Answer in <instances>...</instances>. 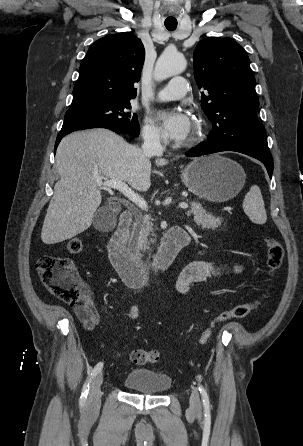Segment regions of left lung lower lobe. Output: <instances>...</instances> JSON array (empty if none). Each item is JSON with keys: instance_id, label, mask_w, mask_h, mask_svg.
<instances>
[{"instance_id": "0a47b994", "label": "left lung lower lobe", "mask_w": 303, "mask_h": 446, "mask_svg": "<svg viewBox=\"0 0 303 446\" xmlns=\"http://www.w3.org/2000/svg\"><path fill=\"white\" fill-rule=\"evenodd\" d=\"M221 151H236L254 157L265 164L269 176L270 177L272 176L273 160L269 150H262L233 143H228L223 145L202 144L188 151L186 155L189 157H198L201 155H207Z\"/></svg>"}]
</instances>
